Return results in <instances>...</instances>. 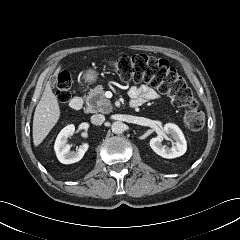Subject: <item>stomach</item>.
<instances>
[{"mask_svg":"<svg viewBox=\"0 0 240 240\" xmlns=\"http://www.w3.org/2000/svg\"><path fill=\"white\" fill-rule=\"evenodd\" d=\"M98 78V73L93 69H88L84 73V79L88 83H94Z\"/></svg>","mask_w":240,"mask_h":240,"instance_id":"1","label":"stomach"}]
</instances>
